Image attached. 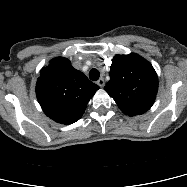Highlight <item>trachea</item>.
Masks as SVG:
<instances>
[{"label": "trachea", "instance_id": "3493384b", "mask_svg": "<svg viewBox=\"0 0 187 187\" xmlns=\"http://www.w3.org/2000/svg\"><path fill=\"white\" fill-rule=\"evenodd\" d=\"M100 77V73L97 69L93 68L90 70L89 72V78L92 80V81H96L98 80Z\"/></svg>", "mask_w": 187, "mask_h": 187}]
</instances>
